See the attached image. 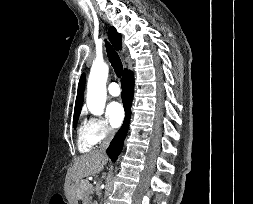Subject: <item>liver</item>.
<instances>
[{
  "instance_id": "1",
  "label": "liver",
  "mask_w": 253,
  "mask_h": 204,
  "mask_svg": "<svg viewBox=\"0 0 253 204\" xmlns=\"http://www.w3.org/2000/svg\"><path fill=\"white\" fill-rule=\"evenodd\" d=\"M108 162V157L100 150H93L77 157L72 167L67 171L65 192L70 204H77V187L79 180L91 175L98 174Z\"/></svg>"
}]
</instances>
